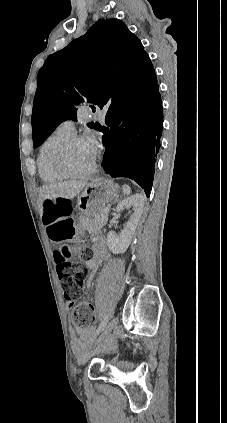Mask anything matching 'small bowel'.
Wrapping results in <instances>:
<instances>
[{"label":"small bowel","mask_w":227,"mask_h":423,"mask_svg":"<svg viewBox=\"0 0 227 423\" xmlns=\"http://www.w3.org/2000/svg\"><path fill=\"white\" fill-rule=\"evenodd\" d=\"M67 222H71V219L64 217V218L57 219L51 223L45 224L48 237L52 241L56 242L54 239V234H53L54 229L56 228L57 225L67 223ZM103 256L104 254L96 255L93 258H90L86 262L87 268L89 270L87 286H90L92 284L94 274L97 271ZM66 305H67V308L70 309L74 306V301H67ZM76 330L80 336V341L75 342L74 352L77 356H81L83 349L86 348L92 342L95 336V329L93 327L81 328L76 326Z\"/></svg>","instance_id":"small-bowel-1"}]
</instances>
